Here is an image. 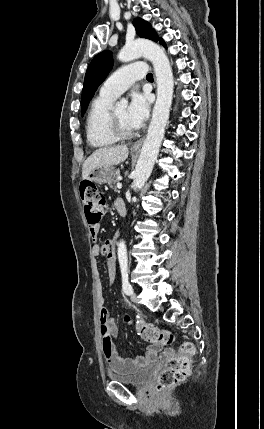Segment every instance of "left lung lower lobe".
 I'll return each instance as SVG.
<instances>
[{"label": "left lung lower lobe", "mask_w": 264, "mask_h": 429, "mask_svg": "<svg viewBox=\"0 0 264 429\" xmlns=\"http://www.w3.org/2000/svg\"><path fill=\"white\" fill-rule=\"evenodd\" d=\"M159 42H160V44H161V45H163L164 47H166V44H165V42L163 41V39H160V40H159Z\"/></svg>", "instance_id": "0a47b994"}]
</instances>
